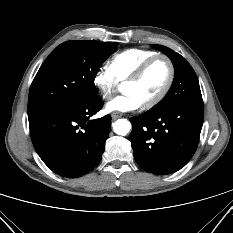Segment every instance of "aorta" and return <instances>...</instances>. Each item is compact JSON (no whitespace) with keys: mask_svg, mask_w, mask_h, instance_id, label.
Here are the masks:
<instances>
[{"mask_svg":"<svg viewBox=\"0 0 233 233\" xmlns=\"http://www.w3.org/2000/svg\"><path fill=\"white\" fill-rule=\"evenodd\" d=\"M131 129V123L127 119H118L113 124V130L116 134L125 136Z\"/></svg>","mask_w":233,"mask_h":233,"instance_id":"aorta-1","label":"aorta"}]
</instances>
